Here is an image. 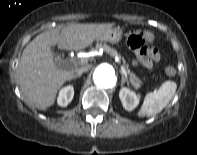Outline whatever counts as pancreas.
Here are the masks:
<instances>
[{
	"instance_id": "1",
	"label": "pancreas",
	"mask_w": 197,
	"mask_h": 155,
	"mask_svg": "<svg viewBox=\"0 0 197 155\" xmlns=\"http://www.w3.org/2000/svg\"><path fill=\"white\" fill-rule=\"evenodd\" d=\"M103 48L110 56L114 57V56H118L119 58H121V55L118 54V52L111 48L110 46L106 45V44H97L94 48H92V50H99ZM123 64H124V68L126 71V74L128 76L129 81L131 82V84L138 88L140 87V85L142 84V81L135 75V73L131 72V70L129 69L128 64H126L125 60L122 58Z\"/></svg>"
}]
</instances>
